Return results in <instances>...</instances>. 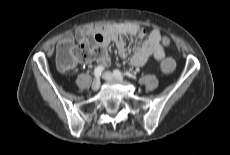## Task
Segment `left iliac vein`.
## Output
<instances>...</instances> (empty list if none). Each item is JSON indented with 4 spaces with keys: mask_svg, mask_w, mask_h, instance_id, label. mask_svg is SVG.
Wrapping results in <instances>:
<instances>
[{
    "mask_svg": "<svg viewBox=\"0 0 230 155\" xmlns=\"http://www.w3.org/2000/svg\"><path fill=\"white\" fill-rule=\"evenodd\" d=\"M103 78L107 81H121L122 77H116L111 72H105L103 74Z\"/></svg>",
    "mask_w": 230,
    "mask_h": 155,
    "instance_id": "4c4485c4",
    "label": "left iliac vein"
}]
</instances>
